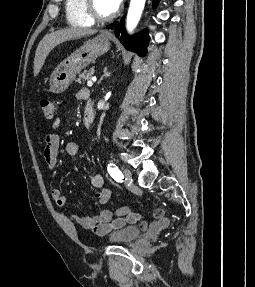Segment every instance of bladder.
I'll list each match as a JSON object with an SVG mask.
<instances>
[{
    "label": "bladder",
    "instance_id": "obj_1",
    "mask_svg": "<svg viewBox=\"0 0 255 287\" xmlns=\"http://www.w3.org/2000/svg\"><path fill=\"white\" fill-rule=\"evenodd\" d=\"M141 233V227L128 224L111 231L108 234L107 240L110 243H129L136 240Z\"/></svg>",
    "mask_w": 255,
    "mask_h": 287
}]
</instances>
